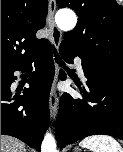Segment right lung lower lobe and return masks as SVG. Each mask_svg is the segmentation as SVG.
<instances>
[{"label":"right lung lower lobe","instance_id":"1","mask_svg":"<svg viewBox=\"0 0 123 152\" xmlns=\"http://www.w3.org/2000/svg\"><path fill=\"white\" fill-rule=\"evenodd\" d=\"M35 57V71L23 89L13 94L11 84L15 71H26ZM32 58L17 66H1V134L16 137L40 151L48 128L49 93L54 78L51 49L46 43Z\"/></svg>","mask_w":123,"mask_h":152}]
</instances>
